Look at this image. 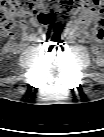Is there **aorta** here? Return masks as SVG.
Masks as SVG:
<instances>
[{
  "instance_id": "obj_1",
  "label": "aorta",
  "mask_w": 104,
  "mask_h": 137,
  "mask_svg": "<svg viewBox=\"0 0 104 137\" xmlns=\"http://www.w3.org/2000/svg\"><path fill=\"white\" fill-rule=\"evenodd\" d=\"M55 41L56 42H59V43H61V42H64L65 41V34L64 33H61V32H59V33H56L55 34Z\"/></svg>"
}]
</instances>
